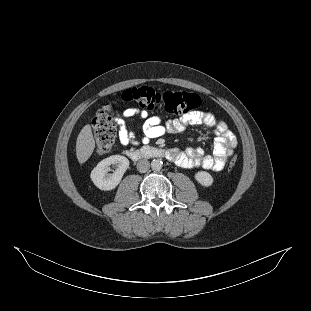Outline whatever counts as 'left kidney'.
<instances>
[{
    "label": "left kidney",
    "instance_id": "5707ae66",
    "mask_svg": "<svg viewBox=\"0 0 311 311\" xmlns=\"http://www.w3.org/2000/svg\"><path fill=\"white\" fill-rule=\"evenodd\" d=\"M195 179L202 186L208 187L213 184V177L205 171H200L195 174Z\"/></svg>",
    "mask_w": 311,
    "mask_h": 311
}]
</instances>
